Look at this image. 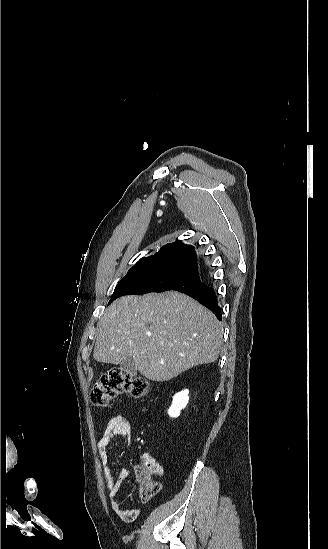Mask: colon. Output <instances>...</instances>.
Listing matches in <instances>:
<instances>
[{
	"label": "colon",
	"instance_id": "obj_1",
	"mask_svg": "<svg viewBox=\"0 0 328 549\" xmlns=\"http://www.w3.org/2000/svg\"><path fill=\"white\" fill-rule=\"evenodd\" d=\"M151 390L148 381L141 377L131 376L124 371L114 368L107 371L93 385L90 391V402L100 407L107 405L113 398L121 393H129L134 397L146 396ZM140 482V496L146 498L150 492L151 480L145 470L139 468L136 471ZM136 513L128 514L125 519L132 520Z\"/></svg>",
	"mask_w": 328,
	"mask_h": 549
}]
</instances>
